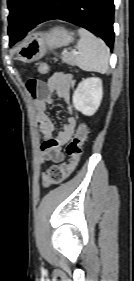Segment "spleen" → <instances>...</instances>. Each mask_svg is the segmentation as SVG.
Listing matches in <instances>:
<instances>
[{
  "instance_id": "spleen-1",
  "label": "spleen",
  "mask_w": 134,
  "mask_h": 281,
  "mask_svg": "<svg viewBox=\"0 0 134 281\" xmlns=\"http://www.w3.org/2000/svg\"><path fill=\"white\" fill-rule=\"evenodd\" d=\"M80 40L77 44L79 55L77 65L84 71L106 73L109 67V48L103 40L95 37L86 29H78Z\"/></svg>"
}]
</instances>
